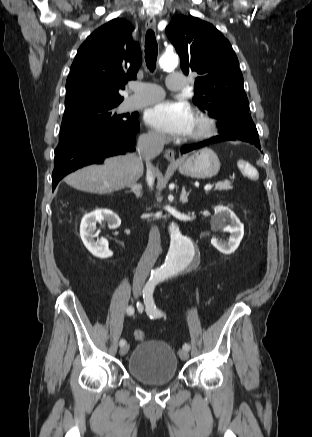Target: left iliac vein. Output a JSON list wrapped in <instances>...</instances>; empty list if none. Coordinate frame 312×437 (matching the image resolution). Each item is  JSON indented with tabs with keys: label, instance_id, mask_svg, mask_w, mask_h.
I'll return each instance as SVG.
<instances>
[{
	"label": "left iliac vein",
	"instance_id": "left-iliac-vein-1",
	"mask_svg": "<svg viewBox=\"0 0 312 437\" xmlns=\"http://www.w3.org/2000/svg\"><path fill=\"white\" fill-rule=\"evenodd\" d=\"M179 356L182 360H187L189 358V353L187 350L185 349H180L179 350Z\"/></svg>",
	"mask_w": 312,
	"mask_h": 437
}]
</instances>
